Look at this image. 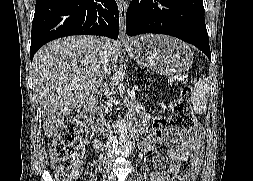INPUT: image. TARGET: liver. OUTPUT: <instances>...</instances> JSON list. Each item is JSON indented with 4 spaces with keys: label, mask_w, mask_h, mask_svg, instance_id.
I'll list each match as a JSON object with an SVG mask.
<instances>
[{
    "label": "liver",
    "mask_w": 253,
    "mask_h": 181,
    "mask_svg": "<svg viewBox=\"0 0 253 181\" xmlns=\"http://www.w3.org/2000/svg\"><path fill=\"white\" fill-rule=\"evenodd\" d=\"M110 43V68L116 69L119 43L93 36H70L43 46L32 61L33 88L50 138L64 119L105 78L103 45Z\"/></svg>",
    "instance_id": "1"
}]
</instances>
